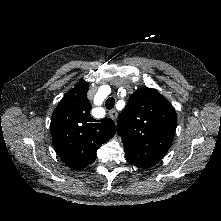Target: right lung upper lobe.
Instances as JSON below:
<instances>
[{
	"label": "right lung upper lobe",
	"mask_w": 221,
	"mask_h": 221,
	"mask_svg": "<svg viewBox=\"0 0 221 221\" xmlns=\"http://www.w3.org/2000/svg\"><path fill=\"white\" fill-rule=\"evenodd\" d=\"M89 84L79 82L55 108L51 119L54 148L72 169H82L96 159L97 149L116 133L113 120H95L87 98Z\"/></svg>",
	"instance_id": "obj_1"
}]
</instances>
